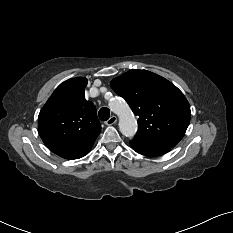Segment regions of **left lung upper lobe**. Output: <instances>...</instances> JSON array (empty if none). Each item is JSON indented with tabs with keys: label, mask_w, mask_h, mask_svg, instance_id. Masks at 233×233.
I'll return each instance as SVG.
<instances>
[{
	"label": "left lung upper lobe",
	"mask_w": 233,
	"mask_h": 233,
	"mask_svg": "<svg viewBox=\"0 0 233 233\" xmlns=\"http://www.w3.org/2000/svg\"><path fill=\"white\" fill-rule=\"evenodd\" d=\"M110 85L139 116L133 141L174 147L183 138L190 122V106L170 81L134 69L113 79Z\"/></svg>",
	"instance_id": "left-lung-upper-lobe-1"
}]
</instances>
